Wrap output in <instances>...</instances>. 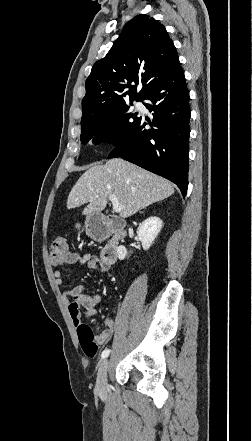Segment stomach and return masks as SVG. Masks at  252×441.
Returning <instances> with one entry per match:
<instances>
[{
	"mask_svg": "<svg viewBox=\"0 0 252 441\" xmlns=\"http://www.w3.org/2000/svg\"><path fill=\"white\" fill-rule=\"evenodd\" d=\"M76 227L80 228V224H77ZM91 227H92V217L88 216L85 220V229L89 234L91 233Z\"/></svg>",
	"mask_w": 252,
	"mask_h": 441,
	"instance_id": "1",
	"label": "stomach"
}]
</instances>
